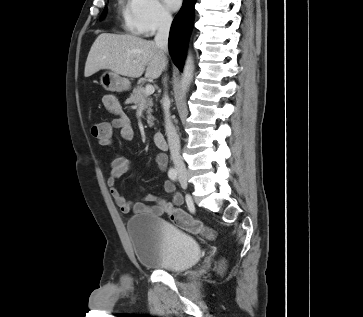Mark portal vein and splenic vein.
<instances>
[{
  "label": "portal vein and splenic vein",
  "instance_id": "portal-vein-and-splenic-vein-1",
  "mask_svg": "<svg viewBox=\"0 0 363 317\" xmlns=\"http://www.w3.org/2000/svg\"><path fill=\"white\" fill-rule=\"evenodd\" d=\"M154 91H155V88H154V86H153V85H151V84H147V85H146V87H145V93H146L147 95H151V94H153V93H154Z\"/></svg>",
  "mask_w": 363,
  "mask_h": 317
}]
</instances>
